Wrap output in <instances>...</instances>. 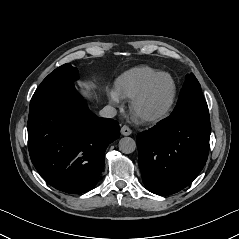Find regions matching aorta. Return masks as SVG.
<instances>
[{
  "instance_id": "762f6f07",
  "label": "aorta",
  "mask_w": 239,
  "mask_h": 239,
  "mask_svg": "<svg viewBox=\"0 0 239 239\" xmlns=\"http://www.w3.org/2000/svg\"><path fill=\"white\" fill-rule=\"evenodd\" d=\"M136 149V142L131 137H123L119 141V150L124 154H130Z\"/></svg>"
}]
</instances>
